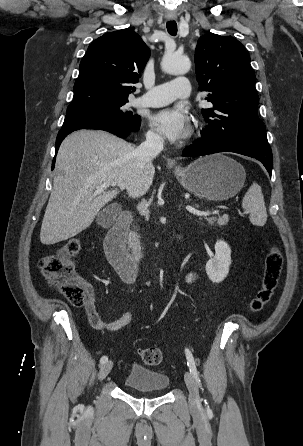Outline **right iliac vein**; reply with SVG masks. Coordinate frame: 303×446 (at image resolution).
<instances>
[{
	"label": "right iliac vein",
	"mask_w": 303,
	"mask_h": 446,
	"mask_svg": "<svg viewBox=\"0 0 303 446\" xmlns=\"http://www.w3.org/2000/svg\"><path fill=\"white\" fill-rule=\"evenodd\" d=\"M113 367L112 361H107L100 367V371L98 373V379L101 381L106 378Z\"/></svg>",
	"instance_id": "right-iliac-vein-1"
}]
</instances>
